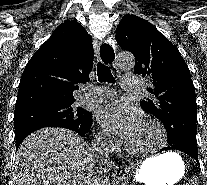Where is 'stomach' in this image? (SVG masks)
<instances>
[{
  "label": "stomach",
  "mask_w": 207,
  "mask_h": 185,
  "mask_svg": "<svg viewBox=\"0 0 207 185\" xmlns=\"http://www.w3.org/2000/svg\"><path fill=\"white\" fill-rule=\"evenodd\" d=\"M184 169L182 158L177 153L168 152L146 159L135 180L145 185H174L183 177Z\"/></svg>",
  "instance_id": "stomach-1"
}]
</instances>
